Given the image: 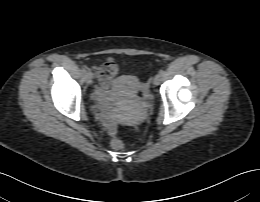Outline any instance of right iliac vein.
Segmentation results:
<instances>
[{"label": "right iliac vein", "instance_id": "obj_1", "mask_svg": "<svg viewBox=\"0 0 260 202\" xmlns=\"http://www.w3.org/2000/svg\"><path fill=\"white\" fill-rule=\"evenodd\" d=\"M84 79H85V82H86L87 84H91V83H92V75H91L90 73H86V74L84 75Z\"/></svg>", "mask_w": 260, "mask_h": 202}]
</instances>
